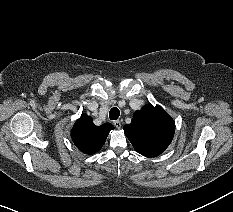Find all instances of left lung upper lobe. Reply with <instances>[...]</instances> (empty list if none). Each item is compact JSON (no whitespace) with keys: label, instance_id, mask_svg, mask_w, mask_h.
<instances>
[{"label":"left lung upper lobe","instance_id":"1","mask_svg":"<svg viewBox=\"0 0 233 212\" xmlns=\"http://www.w3.org/2000/svg\"><path fill=\"white\" fill-rule=\"evenodd\" d=\"M134 149L145 157H157L171 143L175 123L160 106L145 105L133 115L132 122L123 127Z\"/></svg>","mask_w":233,"mask_h":212}]
</instances>
